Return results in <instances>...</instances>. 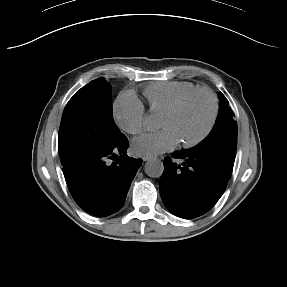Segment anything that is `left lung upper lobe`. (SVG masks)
<instances>
[{
  "instance_id": "1",
  "label": "left lung upper lobe",
  "mask_w": 287,
  "mask_h": 287,
  "mask_svg": "<svg viewBox=\"0 0 287 287\" xmlns=\"http://www.w3.org/2000/svg\"><path fill=\"white\" fill-rule=\"evenodd\" d=\"M218 96L221 103L214 128L205 140L191 150L203 153L230 176L237 147V123L226 97L221 92Z\"/></svg>"
}]
</instances>
